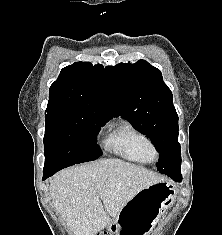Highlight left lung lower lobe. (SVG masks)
I'll return each instance as SVG.
<instances>
[{
	"label": "left lung lower lobe",
	"mask_w": 222,
	"mask_h": 235,
	"mask_svg": "<svg viewBox=\"0 0 222 235\" xmlns=\"http://www.w3.org/2000/svg\"><path fill=\"white\" fill-rule=\"evenodd\" d=\"M175 182H181L182 181V177L181 176H173L171 177Z\"/></svg>",
	"instance_id": "0a47b994"
}]
</instances>
